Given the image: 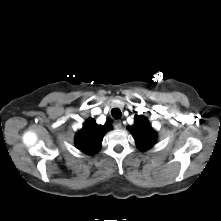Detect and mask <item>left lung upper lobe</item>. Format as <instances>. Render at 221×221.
I'll return each instance as SVG.
<instances>
[{
  "label": "left lung upper lobe",
  "mask_w": 221,
  "mask_h": 221,
  "mask_svg": "<svg viewBox=\"0 0 221 221\" xmlns=\"http://www.w3.org/2000/svg\"><path fill=\"white\" fill-rule=\"evenodd\" d=\"M128 130L133 134L137 146L141 150H147L155 144L156 133L143 116H136L133 126H128Z\"/></svg>",
  "instance_id": "1"
}]
</instances>
